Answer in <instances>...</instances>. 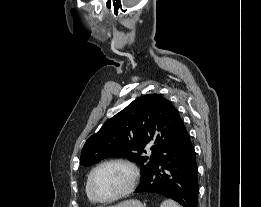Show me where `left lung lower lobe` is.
<instances>
[{"label":"left lung lower lobe","instance_id":"left-lung-lower-lobe-1","mask_svg":"<svg viewBox=\"0 0 261 207\" xmlns=\"http://www.w3.org/2000/svg\"><path fill=\"white\" fill-rule=\"evenodd\" d=\"M135 193H156L177 201L183 207H197L196 154L185 126L175 146L141 180Z\"/></svg>","mask_w":261,"mask_h":207}]
</instances>
